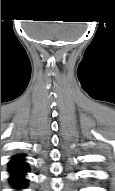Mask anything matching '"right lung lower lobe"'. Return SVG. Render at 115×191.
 Wrapping results in <instances>:
<instances>
[{
	"label": "right lung lower lobe",
	"mask_w": 115,
	"mask_h": 191,
	"mask_svg": "<svg viewBox=\"0 0 115 191\" xmlns=\"http://www.w3.org/2000/svg\"><path fill=\"white\" fill-rule=\"evenodd\" d=\"M28 169L25 170H14L10 171V183L15 186L17 189L24 188L26 185V179L24 178Z\"/></svg>",
	"instance_id": "obj_1"
}]
</instances>
